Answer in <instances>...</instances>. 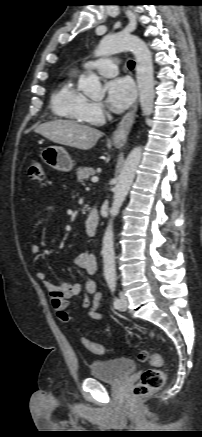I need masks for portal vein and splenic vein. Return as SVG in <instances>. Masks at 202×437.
I'll return each instance as SVG.
<instances>
[{
  "instance_id": "1",
  "label": "portal vein and splenic vein",
  "mask_w": 202,
  "mask_h": 437,
  "mask_svg": "<svg viewBox=\"0 0 202 437\" xmlns=\"http://www.w3.org/2000/svg\"><path fill=\"white\" fill-rule=\"evenodd\" d=\"M91 181L92 182H97L98 181V177H96V176L92 177Z\"/></svg>"
}]
</instances>
